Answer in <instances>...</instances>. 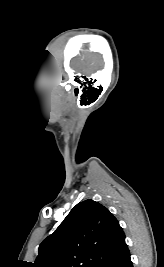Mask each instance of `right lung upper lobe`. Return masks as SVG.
<instances>
[{
  "instance_id": "cb5924a9",
  "label": "right lung upper lobe",
  "mask_w": 164,
  "mask_h": 267,
  "mask_svg": "<svg viewBox=\"0 0 164 267\" xmlns=\"http://www.w3.org/2000/svg\"><path fill=\"white\" fill-rule=\"evenodd\" d=\"M126 246L117 219L91 199L78 203L39 247L34 267H99Z\"/></svg>"
}]
</instances>
